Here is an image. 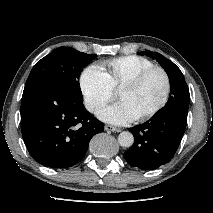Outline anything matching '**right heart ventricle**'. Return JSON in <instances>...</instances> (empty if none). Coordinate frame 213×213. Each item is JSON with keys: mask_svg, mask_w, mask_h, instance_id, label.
I'll use <instances>...</instances> for the list:
<instances>
[{"mask_svg": "<svg viewBox=\"0 0 213 213\" xmlns=\"http://www.w3.org/2000/svg\"><path fill=\"white\" fill-rule=\"evenodd\" d=\"M103 66L111 87L117 90L139 72L154 67V63L141 56L129 55L107 60Z\"/></svg>", "mask_w": 213, "mask_h": 213, "instance_id": "1", "label": "right heart ventricle"}]
</instances>
